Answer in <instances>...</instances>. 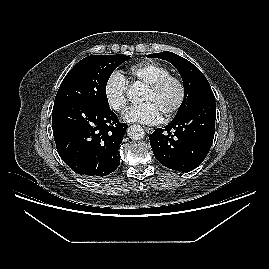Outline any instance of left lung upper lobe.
<instances>
[{
  "label": "left lung upper lobe",
  "mask_w": 269,
  "mask_h": 269,
  "mask_svg": "<svg viewBox=\"0 0 269 269\" xmlns=\"http://www.w3.org/2000/svg\"><path fill=\"white\" fill-rule=\"evenodd\" d=\"M148 57L169 61L177 68L182 77L185 97L176 118L183 116L201 102L215 101L214 94L205 76L194 64L185 58L168 51L149 54Z\"/></svg>",
  "instance_id": "left-lung-upper-lobe-1"
}]
</instances>
